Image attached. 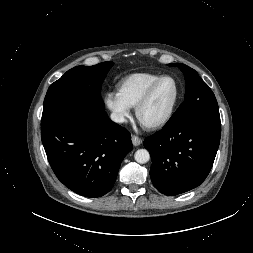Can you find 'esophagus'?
Masks as SVG:
<instances>
[{
    "instance_id": "esophagus-1",
    "label": "esophagus",
    "mask_w": 253,
    "mask_h": 253,
    "mask_svg": "<svg viewBox=\"0 0 253 253\" xmlns=\"http://www.w3.org/2000/svg\"><path fill=\"white\" fill-rule=\"evenodd\" d=\"M131 140L134 146H139L142 143V139L136 135H133Z\"/></svg>"
}]
</instances>
